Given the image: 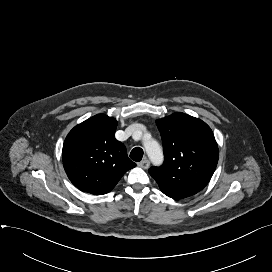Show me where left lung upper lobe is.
I'll use <instances>...</instances> for the list:
<instances>
[{"label":"left lung upper lobe","instance_id":"obj_1","mask_svg":"<svg viewBox=\"0 0 272 272\" xmlns=\"http://www.w3.org/2000/svg\"><path fill=\"white\" fill-rule=\"evenodd\" d=\"M156 123L165 160L161 167H151L150 175L175 200L198 193L210 181L219 158L212 130L202 120L181 112Z\"/></svg>","mask_w":272,"mask_h":272}]
</instances>
